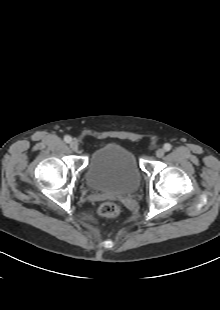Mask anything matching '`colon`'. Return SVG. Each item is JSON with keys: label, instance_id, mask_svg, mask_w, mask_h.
I'll return each instance as SVG.
<instances>
[{"label": "colon", "instance_id": "obj_1", "mask_svg": "<svg viewBox=\"0 0 220 310\" xmlns=\"http://www.w3.org/2000/svg\"><path fill=\"white\" fill-rule=\"evenodd\" d=\"M120 213V208L116 203L106 202L98 208V214L101 217L112 218Z\"/></svg>", "mask_w": 220, "mask_h": 310}]
</instances>
